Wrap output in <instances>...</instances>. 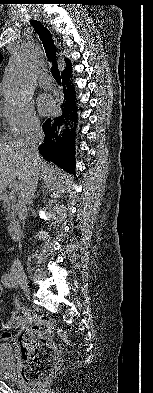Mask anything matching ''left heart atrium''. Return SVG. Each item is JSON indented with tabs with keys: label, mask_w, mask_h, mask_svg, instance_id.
Masks as SVG:
<instances>
[{
	"label": "left heart atrium",
	"mask_w": 153,
	"mask_h": 393,
	"mask_svg": "<svg viewBox=\"0 0 153 393\" xmlns=\"http://www.w3.org/2000/svg\"><path fill=\"white\" fill-rule=\"evenodd\" d=\"M38 106L41 114L43 115H48L50 114L53 109H54V102L51 96L47 94H43L40 96L38 100Z\"/></svg>",
	"instance_id": "1"
}]
</instances>
